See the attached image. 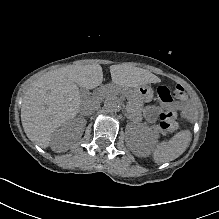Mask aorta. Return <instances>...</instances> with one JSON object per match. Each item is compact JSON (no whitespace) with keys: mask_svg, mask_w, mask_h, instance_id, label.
Instances as JSON below:
<instances>
[{"mask_svg":"<svg viewBox=\"0 0 219 219\" xmlns=\"http://www.w3.org/2000/svg\"><path fill=\"white\" fill-rule=\"evenodd\" d=\"M104 108L113 113L119 111L118 101L115 98H109L104 101Z\"/></svg>","mask_w":219,"mask_h":219,"instance_id":"762f6f07","label":"aorta"}]
</instances>
